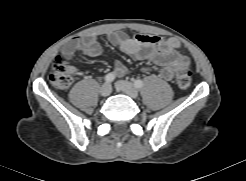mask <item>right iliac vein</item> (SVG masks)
<instances>
[{"label":"right iliac vein","instance_id":"obj_1","mask_svg":"<svg viewBox=\"0 0 246 181\" xmlns=\"http://www.w3.org/2000/svg\"><path fill=\"white\" fill-rule=\"evenodd\" d=\"M111 85L109 83H104L101 88H100V95L103 96V97H107L110 95L111 93Z\"/></svg>","mask_w":246,"mask_h":181}]
</instances>
